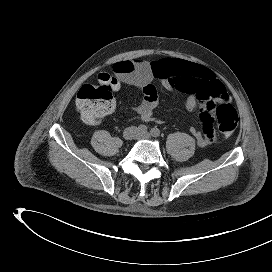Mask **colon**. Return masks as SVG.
<instances>
[{"mask_svg": "<svg viewBox=\"0 0 272 272\" xmlns=\"http://www.w3.org/2000/svg\"><path fill=\"white\" fill-rule=\"evenodd\" d=\"M117 81L106 73L98 76L96 84L83 85L76 95V108L82 120L89 125L98 124L113 107L114 92ZM224 100L222 103L212 101L217 115L214 118L218 129L224 136H230L238 125V115L235 109Z\"/></svg>", "mask_w": 272, "mask_h": 272, "instance_id": "5ec220e1", "label": "colon"}]
</instances>
